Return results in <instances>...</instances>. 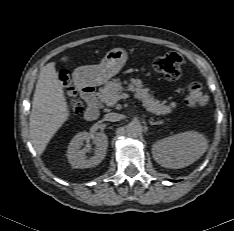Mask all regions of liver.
Wrapping results in <instances>:
<instances>
[{
    "label": "liver",
    "instance_id": "6515ba94",
    "mask_svg": "<svg viewBox=\"0 0 234 231\" xmlns=\"http://www.w3.org/2000/svg\"><path fill=\"white\" fill-rule=\"evenodd\" d=\"M67 60L68 57L61 58V61ZM69 117L63 85L58 78L55 62H50L40 70L29 118L31 142L39 155Z\"/></svg>",
    "mask_w": 234,
    "mask_h": 231
}]
</instances>
